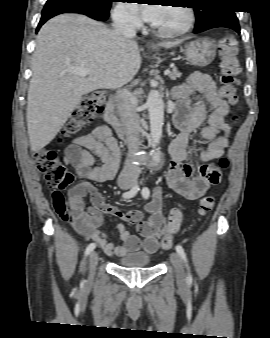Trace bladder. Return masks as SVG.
I'll list each match as a JSON object with an SVG mask.
<instances>
[{
	"label": "bladder",
	"mask_w": 270,
	"mask_h": 338,
	"mask_svg": "<svg viewBox=\"0 0 270 338\" xmlns=\"http://www.w3.org/2000/svg\"><path fill=\"white\" fill-rule=\"evenodd\" d=\"M151 263V256L144 253L126 254L118 260V265L123 268H148Z\"/></svg>",
	"instance_id": "31cf9c89"
}]
</instances>
